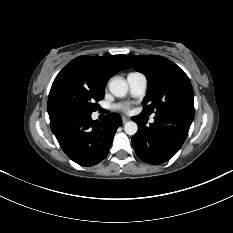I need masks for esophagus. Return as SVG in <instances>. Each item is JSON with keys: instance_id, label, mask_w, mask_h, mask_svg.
Wrapping results in <instances>:
<instances>
[{"instance_id": "1", "label": "esophagus", "mask_w": 233, "mask_h": 233, "mask_svg": "<svg viewBox=\"0 0 233 233\" xmlns=\"http://www.w3.org/2000/svg\"><path fill=\"white\" fill-rule=\"evenodd\" d=\"M130 119L128 118V117H125V116H123L122 117V122L123 123H126V122H128Z\"/></svg>"}]
</instances>
